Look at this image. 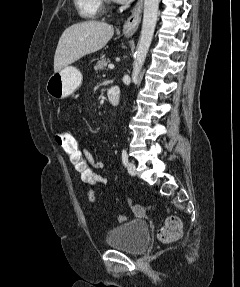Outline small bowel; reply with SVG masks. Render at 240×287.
<instances>
[{
	"mask_svg": "<svg viewBox=\"0 0 240 287\" xmlns=\"http://www.w3.org/2000/svg\"><path fill=\"white\" fill-rule=\"evenodd\" d=\"M84 155L86 156L87 160L89 161V163L94 167V169H102L104 167V163L99 160L93 153H91L88 149H83ZM108 178L103 177L101 175L98 174V182L100 184H107L108 183ZM136 211H140L139 207L135 208Z\"/></svg>",
	"mask_w": 240,
	"mask_h": 287,
	"instance_id": "obj_1",
	"label": "small bowel"
}]
</instances>
